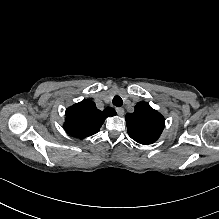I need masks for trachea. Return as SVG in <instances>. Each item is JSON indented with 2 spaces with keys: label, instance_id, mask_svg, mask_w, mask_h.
Returning <instances> with one entry per match:
<instances>
[{
  "label": "trachea",
  "instance_id": "3493384b",
  "mask_svg": "<svg viewBox=\"0 0 219 219\" xmlns=\"http://www.w3.org/2000/svg\"><path fill=\"white\" fill-rule=\"evenodd\" d=\"M113 105L117 106V107H121L123 105V100L120 96H115L112 100Z\"/></svg>",
  "mask_w": 219,
  "mask_h": 219
}]
</instances>
